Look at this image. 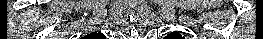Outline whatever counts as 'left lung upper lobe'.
Masks as SVG:
<instances>
[{
    "label": "left lung upper lobe",
    "instance_id": "1",
    "mask_svg": "<svg viewBox=\"0 0 263 39\" xmlns=\"http://www.w3.org/2000/svg\"><path fill=\"white\" fill-rule=\"evenodd\" d=\"M165 39H184V37H182V35L177 32H172L169 35H167Z\"/></svg>",
    "mask_w": 263,
    "mask_h": 39
}]
</instances>
